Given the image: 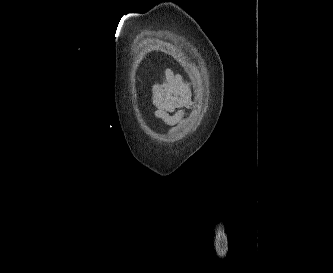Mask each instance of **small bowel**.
I'll return each mask as SVG.
<instances>
[{"label": "small bowel", "mask_w": 333, "mask_h": 273, "mask_svg": "<svg viewBox=\"0 0 333 273\" xmlns=\"http://www.w3.org/2000/svg\"><path fill=\"white\" fill-rule=\"evenodd\" d=\"M183 89V78L172 70H166L161 80H157L152 88V103L155 106L154 117L164 122H173L175 117L170 111L177 106H184L180 96Z\"/></svg>", "instance_id": "obj_1"}]
</instances>
